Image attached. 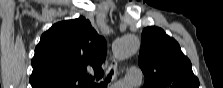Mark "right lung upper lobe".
I'll list each match as a JSON object with an SVG mask.
<instances>
[{
	"instance_id": "right-lung-upper-lobe-1",
	"label": "right lung upper lobe",
	"mask_w": 223,
	"mask_h": 88,
	"mask_svg": "<svg viewBox=\"0 0 223 88\" xmlns=\"http://www.w3.org/2000/svg\"><path fill=\"white\" fill-rule=\"evenodd\" d=\"M106 41L84 17L62 21L46 31L32 59V88H88L103 76Z\"/></svg>"
}]
</instances>
